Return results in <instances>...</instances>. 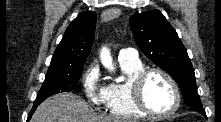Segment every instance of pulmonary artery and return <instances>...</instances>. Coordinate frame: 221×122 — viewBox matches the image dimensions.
Returning a JSON list of instances; mask_svg holds the SVG:
<instances>
[{"mask_svg": "<svg viewBox=\"0 0 221 122\" xmlns=\"http://www.w3.org/2000/svg\"><path fill=\"white\" fill-rule=\"evenodd\" d=\"M118 59L129 62H139L138 53L133 48L121 49L118 54Z\"/></svg>", "mask_w": 221, "mask_h": 122, "instance_id": "pulmonary-artery-1", "label": "pulmonary artery"}]
</instances>
